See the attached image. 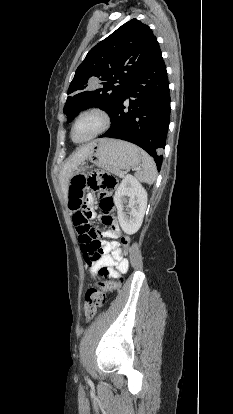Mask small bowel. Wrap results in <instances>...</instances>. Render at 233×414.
<instances>
[{
	"label": "small bowel",
	"mask_w": 233,
	"mask_h": 414,
	"mask_svg": "<svg viewBox=\"0 0 233 414\" xmlns=\"http://www.w3.org/2000/svg\"><path fill=\"white\" fill-rule=\"evenodd\" d=\"M86 203L87 208L91 211L92 217L94 215L93 195H89L87 197ZM104 223L109 226V229L103 232V236L111 239V241L103 243L104 254L91 265H89L91 274L94 275L98 269L105 267L108 269L110 277L118 278L125 274L129 267V262L126 257L120 258L116 255V253L120 250L117 239L121 236V229L116 219L112 215H109L107 217V221Z\"/></svg>",
	"instance_id": "small-bowel-1"
}]
</instances>
